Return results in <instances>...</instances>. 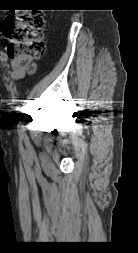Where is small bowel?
Listing matches in <instances>:
<instances>
[{"instance_id": "1", "label": "small bowel", "mask_w": 138, "mask_h": 253, "mask_svg": "<svg viewBox=\"0 0 138 253\" xmlns=\"http://www.w3.org/2000/svg\"><path fill=\"white\" fill-rule=\"evenodd\" d=\"M0 61L11 67L10 77L14 80H19L24 77V68L20 64L9 58L6 52L0 50Z\"/></svg>"}]
</instances>
